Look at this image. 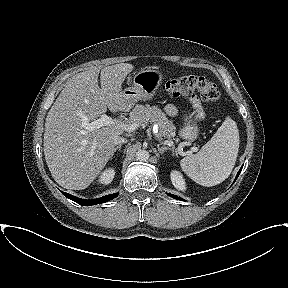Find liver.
I'll list each match as a JSON object with an SVG mask.
<instances>
[{
	"instance_id": "6515ba94",
	"label": "liver",
	"mask_w": 288,
	"mask_h": 288,
	"mask_svg": "<svg viewBox=\"0 0 288 288\" xmlns=\"http://www.w3.org/2000/svg\"><path fill=\"white\" fill-rule=\"evenodd\" d=\"M134 66L120 63L92 67L74 75L49 110L44 132V155L54 180L66 189L87 188L114 154L113 138L125 130L108 125L89 131L83 119L96 120L107 111L126 109L122 83ZM100 73L101 88L98 85Z\"/></svg>"
}]
</instances>
